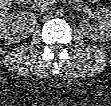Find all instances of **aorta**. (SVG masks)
Returning a JSON list of instances; mask_svg holds the SVG:
<instances>
[{
  "instance_id": "762f6f07",
  "label": "aorta",
  "mask_w": 111,
  "mask_h": 106,
  "mask_svg": "<svg viewBox=\"0 0 111 106\" xmlns=\"http://www.w3.org/2000/svg\"><path fill=\"white\" fill-rule=\"evenodd\" d=\"M56 15L57 16H63L64 15V10L63 9H58L57 11H56Z\"/></svg>"
}]
</instances>
